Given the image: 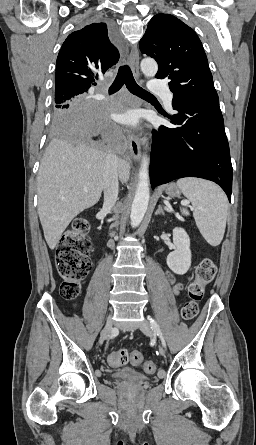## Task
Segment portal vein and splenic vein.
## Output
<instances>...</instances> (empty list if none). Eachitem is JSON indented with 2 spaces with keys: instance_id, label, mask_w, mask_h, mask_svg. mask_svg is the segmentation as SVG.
I'll return each instance as SVG.
<instances>
[{
  "instance_id": "1",
  "label": "portal vein and splenic vein",
  "mask_w": 256,
  "mask_h": 445,
  "mask_svg": "<svg viewBox=\"0 0 256 445\" xmlns=\"http://www.w3.org/2000/svg\"><path fill=\"white\" fill-rule=\"evenodd\" d=\"M84 191L86 192L87 188H84ZM184 205H189V202L188 201H184ZM166 210L171 212L172 208L168 204H166Z\"/></svg>"
}]
</instances>
